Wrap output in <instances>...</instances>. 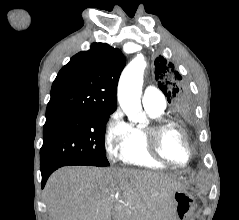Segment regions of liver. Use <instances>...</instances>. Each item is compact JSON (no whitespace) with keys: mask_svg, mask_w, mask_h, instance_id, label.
I'll list each match as a JSON object with an SVG mask.
<instances>
[{"mask_svg":"<svg viewBox=\"0 0 239 220\" xmlns=\"http://www.w3.org/2000/svg\"><path fill=\"white\" fill-rule=\"evenodd\" d=\"M180 178L126 168L86 166L55 171L45 186L51 220H166Z\"/></svg>","mask_w":239,"mask_h":220,"instance_id":"1","label":"liver"}]
</instances>
